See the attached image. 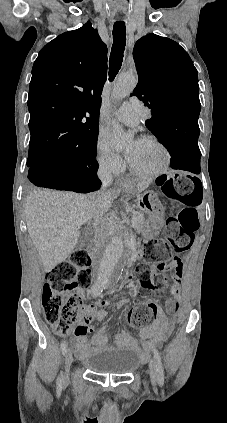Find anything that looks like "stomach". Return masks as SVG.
<instances>
[{
	"label": "stomach",
	"instance_id": "1",
	"mask_svg": "<svg viewBox=\"0 0 227 423\" xmlns=\"http://www.w3.org/2000/svg\"><path fill=\"white\" fill-rule=\"evenodd\" d=\"M119 190H134L135 184L134 182H129V184H123V186H118ZM155 200V194L152 190H147V192H142L140 196H138L136 200V206L139 208L140 211H144V213H148V211L152 210L153 204Z\"/></svg>",
	"mask_w": 227,
	"mask_h": 423
}]
</instances>
